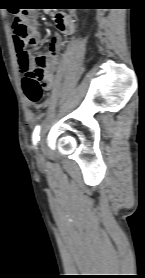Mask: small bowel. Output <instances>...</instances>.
Here are the masks:
<instances>
[{
  "label": "small bowel",
  "instance_id": "obj_1",
  "mask_svg": "<svg viewBox=\"0 0 145 278\" xmlns=\"http://www.w3.org/2000/svg\"><path fill=\"white\" fill-rule=\"evenodd\" d=\"M27 24H28V37L26 44L30 46H38L41 43V32L39 28L38 10L34 7L30 8L27 12ZM56 26L58 30L70 37H73L77 31V24L72 21L67 15L59 14L56 17ZM14 43L16 46V38L14 37ZM63 46V39L60 35L56 34L52 37L50 45L47 50V54L44 57L46 61L45 65V88L50 89L54 82V71L57 67V55ZM26 47V45H25ZM17 51V47H16ZM18 63L21 72H27L35 67V62L30 58L27 52L18 54Z\"/></svg>",
  "mask_w": 145,
  "mask_h": 278
}]
</instances>
